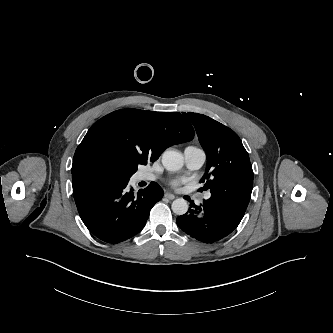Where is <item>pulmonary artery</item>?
I'll use <instances>...</instances> for the list:
<instances>
[{"instance_id":"e3ab8cb5","label":"pulmonary artery","mask_w":333,"mask_h":333,"mask_svg":"<svg viewBox=\"0 0 333 333\" xmlns=\"http://www.w3.org/2000/svg\"><path fill=\"white\" fill-rule=\"evenodd\" d=\"M184 159L187 167L191 170H197L201 168V166L204 164L206 160V154L205 152L198 147L194 146H188L184 150ZM137 181H145V182H151L156 179V176L154 174L148 173V172H140L136 176ZM211 196L210 193H207L205 195L206 199H209Z\"/></svg>"}]
</instances>
